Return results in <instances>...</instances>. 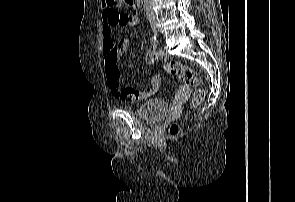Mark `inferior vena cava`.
<instances>
[{
  "instance_id": "602c4592",
  "label": "inferior vena cava",
  "mask_w": 295,
  "mask_h": 202,
  "mask_svg": "<svg viewBox=\"0 0 295 202\" xmlns=\"http://www.w3.org/2000/svg\"><path fill=\"white\" fill-rule=\"evenodd\" d=\"M147 5H146V15L149 20H154L155 19V14L154 10L152 8L151 0H146Z\"/></svg>"
}]
</instances>
